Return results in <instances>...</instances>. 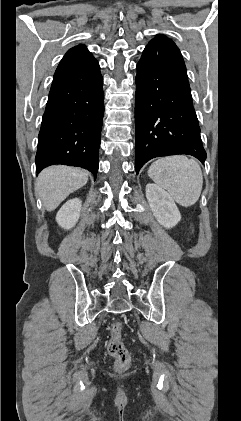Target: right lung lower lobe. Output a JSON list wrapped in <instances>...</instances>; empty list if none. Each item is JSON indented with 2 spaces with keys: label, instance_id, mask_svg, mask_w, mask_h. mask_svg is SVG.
I'll use <instances>...</instances> for the list:
<instances>
[{
  "label": "right lung lower lobe",
  "instance_id": "right-lung-lower-lobe-1",
  "mask_svg": "<svg viewBox=\"0 0 241 421\" xmlns=\"http://www.w3.org/2000/svg\"><path fill=\"white\" fill-rule=\"evenodd\" d=\"M102 85L93 56L55 72L38 137L37 173L53 164L97 173L104 114Z\"/></svg>",
  "mask_w": 241,
  "mask_h": 421
}]
</instances>
